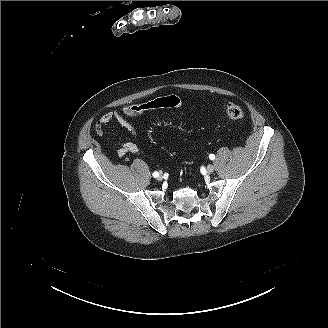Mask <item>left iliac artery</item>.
<instances>
[{
  "label": "left iliac artery",
  "mask_w": 328,
  "mask_h": 328,
  "mask_svg": "<svg viewBox=\"0 0 328 328\" xmlns=\"http://www.w3.org/2000/svg\"><path fill=\"white\" fill-rule=\"evenodd\" d=\"M209 158H210L211 160H214V159H215V155H214V154H210V155H209Z\"/></svg>",
  "instance_id": "44dca946"
}]
</instances>
